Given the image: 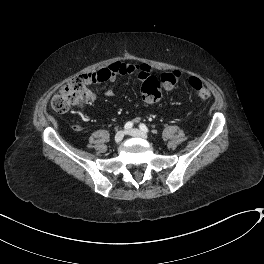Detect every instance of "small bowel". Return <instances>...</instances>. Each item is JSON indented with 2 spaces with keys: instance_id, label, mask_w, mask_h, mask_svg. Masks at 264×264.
<instances>
[{
  "instance_id": "small-bowel-1",
  "label": "small bowel",
  "mask_w": 264,
  "mask_h": 264,
  "mask_svg": "<svg viewBox=\"0 0 264 264\" xmlns=\"http://www.w3.org/2000/svg\"><path fill=\"white\" fill-rule=\"evenodd\" d=\"M122 67L127 71L125 75L133 76L139 82H144L147 78L154 77L151 67L147 64L113 63L98 71L84 74L83 78L88 83L114 82L121 75L120 70ZM165 89L169 91L172 88L166 87ZM107 95L114 97V93L111 90L107 91ZM141 99L144 104H149L153 101L146 99L144 96Z\"/></svg>"
}]
</instances>
